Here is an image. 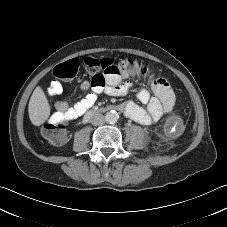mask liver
Listing matches in <instances>:
<instances>
[{"label": "liver", "mask_w": 227, "mask_h": 227, "mask_svg": "<svg viewBox=\"0 0 227 227\" xmlns=\"http://www.w3.org/2000/svg\"><path fill=\"white\" fill-rule=\"evenodd\" d=\"M29 118L33 125L40 126L50 115L48 99L40 86L33 91L28 105Z\"/></svg>", "instance_id": "1"}]
</instances>
